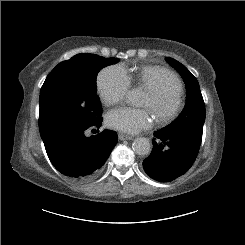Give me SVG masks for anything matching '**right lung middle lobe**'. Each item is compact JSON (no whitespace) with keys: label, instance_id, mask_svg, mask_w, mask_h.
Segmentation results:
<instances>
[{"label":"right lung middle lobe","instance_id":"1","mask_svg":"<svg viewBox=\"0 0 245 245\" xmlns=\"http://www.w3.org/2000/svg\"><path fill=\"white\" fill-rule=\"evenodd\" d=\"M116 59L78 54L58 64L40 91L39 129L42 139L71 127H88L100 119L96 76Z\"/></svg>","mask_w":245,"mask_h":245}]
</instances>
